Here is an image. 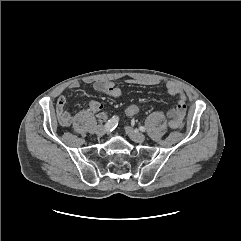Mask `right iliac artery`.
I'll list each match as a JSON object with an SVG mask.
<instances>
[{
    "mask_svg": "<svg viewBox=\"0 0 241 241\" xmlns=\"http://www.w3.org/2000/svg\"><path fill=\"white\" fill-rule=\"evenodd\" d=\"M119 118L117 116H113L108 122L105 124L106 130H113L118 125Z\"/></svg>",
    "mask_w": 241,
    "mask_h": 241,
    "instance_id": "82829eb1",
    "label": "right iliac artery"
}]
</instances>
